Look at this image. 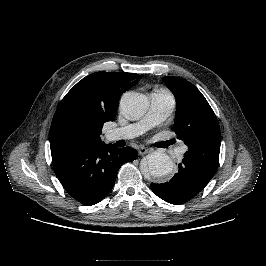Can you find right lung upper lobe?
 Listing matches in <instances>:
<instances>
[{
    "instance_id": "right-lung-upper-lobe-1",
    "label": "right lung upper lobe",
    "mask_w": 266,
    "mask_h": 266,
    "mask_svg": "<svg viewBox=\"0 0 266 266\" xmlns=\"http://www.w3.org/2000/svg\"><path fill=\"white\" fill-rule=\"evenodd\" d=\"M137 77L136 73L96 72L79 81L54 114L51 152L102 144L103 124L114 121L121 94L138 82Z\"/></svg>"
}]
</instances>
